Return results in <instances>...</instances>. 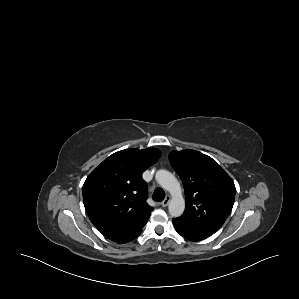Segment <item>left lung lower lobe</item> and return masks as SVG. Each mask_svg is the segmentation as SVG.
Returning <instances> with one entry per match:
<instances>
[{
  "instance_id": "0a47b994",
  "label": "left lung lower lobe",
  "mask_w": 299,
  "mask_h": 299,
  "mask_svg": "<svg viewBox=\"0 0 299 299\" xmlns=\"http://www.w3.org/2000/svg\"><path fill=\"white\" fill-rule=\"evenodd\" d=\"M173 224L175 226L176 231L183 237L193 240V241H198L205 239L211 235V233L206 232L202 229L198 228H192L186 224V222L180 220L179 218H174Z\"/></svg>"
}]
</instances>
